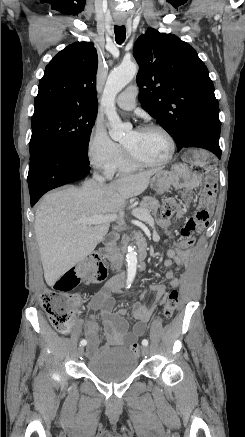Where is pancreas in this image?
<instances>
[{
    "label": "pancreas",
    "instance_id": "cf45deb5",
    "mask_svg": "<svg viewBox=\"0 0 245 437\" xmlns=\"http://www.w3.org/2000/svg\"><path fill=\"white\" fill-rule=\"evenodd\" d=\"M159 206H160L159 201L156 198L146 196L140 202V205L138 208H136L135 212L138 213V215H141L144 214L146 211H148L150 214V212L152 213L156 212ZM124 239L128 240L129 237L127 235H124ZM132 239L139 241L141 239V233L135 232Z\"/></svg>",
    "mask_w": 245,
    "mask_h": 437
}]
</instances>
